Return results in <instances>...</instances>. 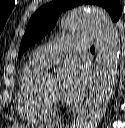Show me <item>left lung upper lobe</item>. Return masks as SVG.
<instances>
[{
  "instance_id": "left-lung-upper-lobe-1",
  "label": "left lung upper lobe",
  "mask_w": 125,
  "mask_h": 128,
  "mask_svg": "<svg viewBox=\"0 0 125 128\" xmlns=\"http://www.w3.org/2000/svg\"><path fill=\"white\" fill-rule=\"evenodd\" d=\"M82 4L97 5L104 8L115 22L119 20L122 13L119 0H55L47 3L31 17L22 38L18 56L49 32L63 11Z\"/></svg>"
}]
</instances>
